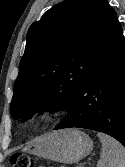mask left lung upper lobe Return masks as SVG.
Segmentation results:
<instances>
[{
	"label": "left lung upper lobe",
	"instance_id": "left-lung-upper-lobe-1",
	"mask_svg": "<svg viewBox=\"0 0 125 167\" xmlns=\"http://www.w3.org/2000/svg\"><path fill=\"white\" fill-rule=\"evenodd\" d=\"M116 18L108 0H65L27 33L10 113L25 121L39 110H67Z\"/></svg>",
	"mask_w": 125,
	"mask_h": 167
}]
</instances>
